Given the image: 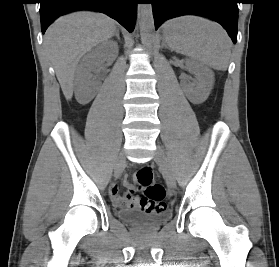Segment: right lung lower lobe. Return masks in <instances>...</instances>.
<instances>
[{
    "label": "right lung lower lobe",
    "mask_w": 279,
    "mask_h": 267,
    "mask_svg": "<svg viewBox=\"0 0 279 267\" xmlns=\"http://www.w3.org/2000/svg\"><path fill=\"white\" fill-rule=\"evenodd\" d=\"M137 0H41L42 33L59 16L76 10H95L116 19L128 31L135 24Z\"/></svg>",
    "instance_id": "right-lung-lower-lobe-1"
}]
</instances>
